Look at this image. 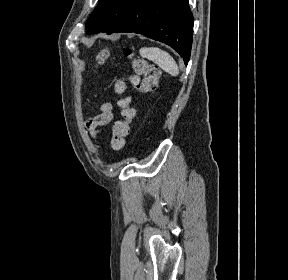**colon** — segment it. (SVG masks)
I'll return each instance as SVG.
<instances>
[{"label":"colon","mask_w":288,"mask_h":280,"mask_svg":"<svg viewBox=\"0 0 288 280\" xmlns=\"http://www.w3.org/2000/svg\"><path fill=\"white\" fill-rule=\"evenodd\" d=\"M123 53L131 60L134 74L120 77L114 82V91L119 96L117 103L122 115V120L116 121L113 126L111 147L115 151H121L125 147L129 125L135 116V110L131 107V99L125 95L127 85L130 83L140 93H149L157 88L160 77L158 66L149 63L145 59L135 58L130 48H124ZM109 54L110 50L108 48L100 50L96 57L97 64H103Z\"/></svg>","instance_id":"obj_1"}]
</instances>
